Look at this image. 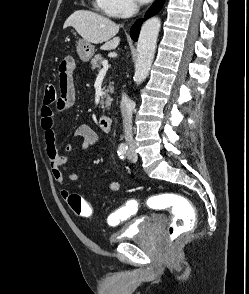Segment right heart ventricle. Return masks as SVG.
Instances as JSON below:
<instances>
[{"label":"right heart ventricle","mask_w":249,"mask_h":294,"mask_svg":"<svg viewBox=\"0 0 249 294\" xmlns=\"http://www.w3.org/2000/svg\"><path fill=\"white\" fill-rule=\"evenodd\" d=\"M95 2L99 9H101L107 15H110L107 7V0H95Z\"/></svg>","instance_id":"obj_1"}]
</instances>
